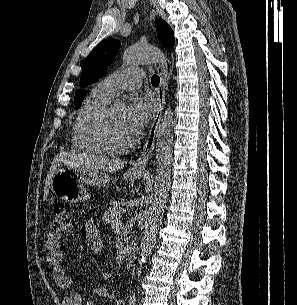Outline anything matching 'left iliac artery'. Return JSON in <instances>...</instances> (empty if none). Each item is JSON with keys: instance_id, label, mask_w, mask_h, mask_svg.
Returning a JSON list of instances; mask_svg holds the SVG:
<instances>
[{"instance_id": "left-iliac-artery-1", "label": "left iliac artery", "mask_w": 297, "mask_h": 305, "mask_svg": "<svg viewBox=\"0 0 297 305\" xmlns=\"http://www.w3.org/2000/svg\"><path fill=\"white\" fill-rule=\"evenodd\" d=\"M129 305H136V297L134 295L130 297Z\"/></svg>"}]
</instances>
